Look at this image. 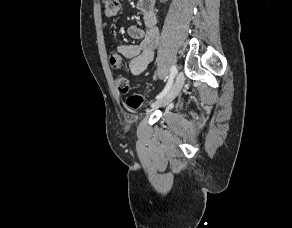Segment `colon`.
<instances>
[{
	"label": "colon",
	"mask_w": 292,
	"mask_h": 228,
	"mask_svg": "<svg viewBox=\"0 0 292 228\" xmlns=\"http://www.w3.org/2000/svg\"><path fill=\"white\" fill-rule=\"evenodd\" d=\"M104 11L108 17L116 16L120 11V0H104ZM109 62L113 69L118 70L121 67L122 60L116 52H111ZM117 88L122 94H127L126 104L129 108L137 110L143 107L144 97L137 92L129 93L128 81L120 77L116 80Z\"/></svg>",
	"instance_id": "1"
}]
</instances>
